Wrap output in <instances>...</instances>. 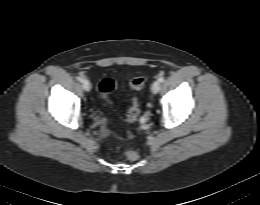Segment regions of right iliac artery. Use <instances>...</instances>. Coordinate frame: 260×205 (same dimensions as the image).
<instances>
[{"label":"right iliac artery","instance_id":"right-iliac-artery-1","mask_svg":"<svg viewBox=\"0 0 260 205\" xmlns=\"http://www.w3.org/2000/svg\"><path fill=\"white\" fill-rule=\"evenodd\" d=\"M77 80H78L79 82H83V81H84V78L81 77V76H79V77H77Z\"/></svg>","mask_w":260,"mask_h":205}]
</instances>
